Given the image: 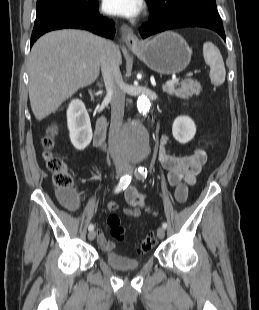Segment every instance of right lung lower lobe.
<instances>
[{
	"label": "right lung lower lobe",
	"mask_w": 259,
	"mask_h": 310,
	"mask_svg": "<svg viewBox=\"0 0 259 310\" xmlns=\"http://www.w3.org/2000/svg\"><path fill=\"white\" fill-rule=\"evenodd\" d=\"M63 28L86 29L107 38H113L115 33L114 22L100 15L98 2L92 0L84 9L50 13L36 19L31 35V45L46 32Z\"/></svg>",
	"instance_id": "98d812e1"
}]
</instances>
